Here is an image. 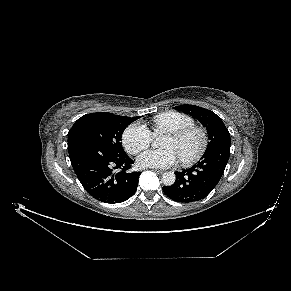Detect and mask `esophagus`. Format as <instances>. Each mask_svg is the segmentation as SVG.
<instances>
[{"instance_id": "obj_1", "label": "esophagus", "mask_w": 291, "mask_h": 291, "mask_svg": "<svg viewBox=\"0 0 291 291\" xmlns=\"http://www.w3.org/2000/svg\"><path fill=\"white\" fill-rule=\"evenodd\" d=\"M154 172L158 173V174H162L163 170H159V169H152Z\"/></svg>"}]
</instances>
